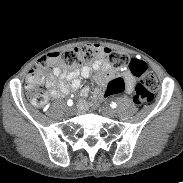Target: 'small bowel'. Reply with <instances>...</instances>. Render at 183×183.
Masks as SVG:
<instances>
[{"instance_id": "1", "label": "small bowel", "mask_w": 183, "mask_h": 183, "mask_svg": "<svg viewBox=\"0 0 183 183\" xmlns=\"http://www.w3.org/2000/svg\"><path fill=\"white\" fill-rule=\"evenodd\" d=\"M52 72L59 78V81L51 80L48 82V85L52 88V96L55 98L64 97L71 91L79 89L82 85V80L92 75H94V79L98 85L106 87L111 79L117 78L115 70L102 58L94 61L91 66L74 68L70 71L56 66ZM122 78L126 81V93H132L136 82L132 71H126ZM87 93L88 87H84L81 90V96L85 97Z\"/></svg>"}]
</instances>
